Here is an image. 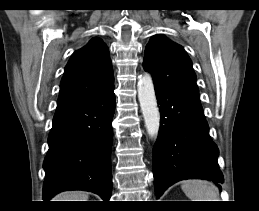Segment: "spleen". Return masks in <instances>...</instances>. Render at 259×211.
<instances>
[{"label": "spleen", "instance_id": "1", "mask_svg": "<svg viewBox=\"0 0 259 211\" xmlns=\"http://www.w3.org/2000/svg\"><path fill=\"white\" fill-rule=\"evenodd\" d=\"M181 188L190 201H220L216 188L206 180H185Z\"/></svg>", "mask_w": 259, "mask_h": 211}]
</instances>
